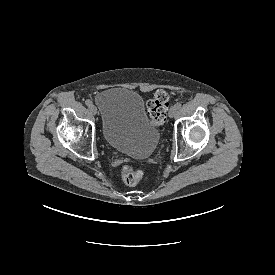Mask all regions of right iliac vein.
<instances>
[{"instance_id": "1", "label": "right iliac vein", "mask_w": 275, "mask_h": 275, "mask_svg": "<svg viewBox=\"0 0 275 275\" xmlns=\"http://www.w3.org/2000/svg\"><path fill=\"white\" fill-rule=\"evenodd\" d=\"M90 110H91L92 114H94V115L97 114V108L95 105L90 106Z\"/></svg>"}]
</instances>
